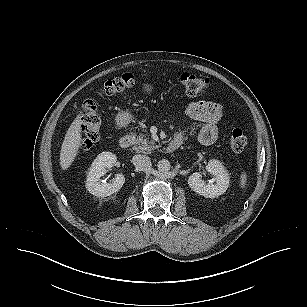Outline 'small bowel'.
<instances>
[{
    "label": "small bowel",
    "instance_id": "small-bowel-1",
    "mask_svg": "<svg viewBox=\"0 0 307 307\" xmlns=\"http://www.w3.org/2000/svg\"><path fill=\"white\" fill-rule=\"evenodd\" d=\"M186 115L198 122L199 128L197 139L203 145H211L218 138L217 125L223 118L222 108L208 101H193L186 108ZM175 138H183L181 131L177 132Z\"/></svg>",
    "mask_w": 307,
    "mask_h": 307
}]
</instances>
